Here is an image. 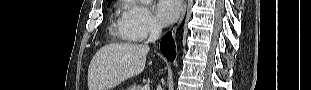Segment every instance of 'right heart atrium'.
<instances>
[{
  "label": "right heart atrium",
  "instance_id": "obj_1",
  "mask_svg": "<svg viewBox=\"0 0 311 90\" xmlns=\"http://www.w3.org/2000/svg\"><path fill=\"white\" fill-rule=\"evenodd\" d=\"M120 22L125 36L135 41H143L160 30V24L151 10L135 0L126 1Z\"/></svg>",
  "mask_w": 311,
  "mask_h": 90
}]
</instances>
